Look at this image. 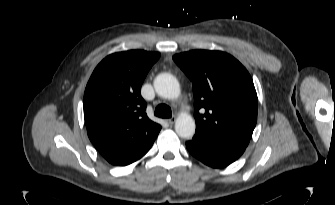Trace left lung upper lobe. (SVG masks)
<instances>
[{
	"mask_svg": "<svg viewBox=\"0 0 335 205\" xmlns=\"http://www.w3.org/2000/svg\"><path fill=\"white\" fill-rule=\"evenodd\" d=\"M173 60L193 82L196 134L246 148L258 111L248 71L221 51L193 50L176 54Z\"/></svg>",
	"mask_w": 335,
	"mask_h": 205,
	"instance_id": "1",
	"label": "left lung upper lobe"
}]
</instances>
